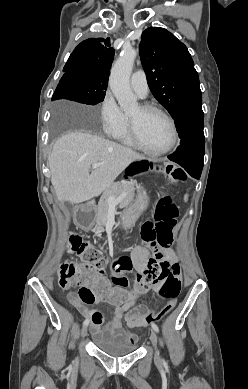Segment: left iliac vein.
I'll return each mask as SVG.
<instances>
[{"mask_svg": "<svg viewBox=\"0 0 248 389\" xmlns=\"http://www.w3.org/2000/svg\"><path fill=\"white\" fill-rule=\"evenodd\" d=\"M150 340H151V343L155 349V360L159 361V353H158V349H157V335H156V332L154 330H151V332H150Z\"/></svg>", "mask_w": 248, "mask_h": 389, "instance_id": "left-iliac-vein-1", "label": "left iliac vein"}]
</instances>
